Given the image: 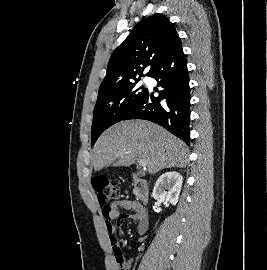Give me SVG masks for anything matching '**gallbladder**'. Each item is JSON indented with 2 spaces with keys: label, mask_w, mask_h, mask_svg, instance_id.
<instances>
[{
  "label": "gallbladder",
  "mask_w": 267,
  "mask_h": 270,
  "mask_svg": "<svg viewBox=\"0 0 267 270\" xmlns=\"http://www.w3.org/2000/svg\"><path fill=\"white\" fill-rule=\"evenodd\" d=\"M139 175H143V173H139Z\"/></svg>",
  "instance_id": "bac80fb5"
}]
</instances>
